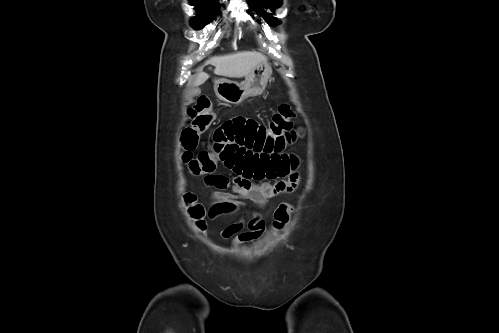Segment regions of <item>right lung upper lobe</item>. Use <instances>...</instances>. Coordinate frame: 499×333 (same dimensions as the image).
<instances>
[{"mask_svg":"<svg viewBox=\"0 0 499 333\" xmlns=\"http://www.w3.org/2000/svg\"><path fill=\"white\" fill-rule=\"evenodd\" d=\"M191 1H207V2H214L216 0H191Z\"/></svg>","mask_w":499,"mask_h":333,"instance_id":"obj_1","label":"right lung upper lobe"}]
</instances>
